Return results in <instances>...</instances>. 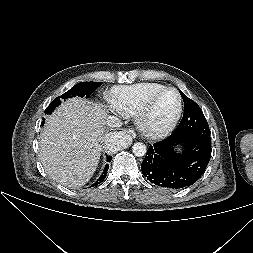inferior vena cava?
Returning a JSON list of instances; mask_svg holds the SVG:
<instances>
[{
	"label": "inferior vena cava",
	"mask_w": 253,
	"mask_h": 253,
	"mask_svg": "<svg viewBox=\"0 0 253 253\" xmlns=\"http://www.w3.org/2000/svg\"><path fill=\"white\" fill-rule=\"evenodd\" d=\"M106 126L110 128H119L122 126L121 120L116 116H108L105 121Z\"/></svg>",
	"instance_id": "1"
}]
</instances>
